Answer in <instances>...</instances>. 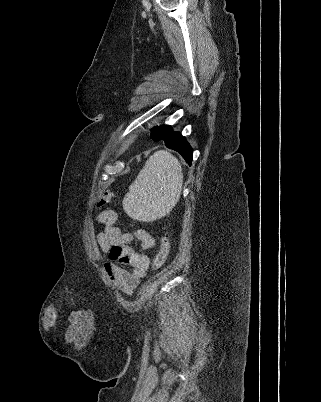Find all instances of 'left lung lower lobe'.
<instances>
[{"label": "left lung lower lobe", "instance_id": "left-lung-lower-lobe-1", "mask_svg": "<svg viewBox=\"0 0 321 402\" xmlns=\"http://www.w3.org/2000/svg\"><path fill=\"white\" fill-rule=\"evenodd\" d=\"M157 134L155 141L162 140L165 146L177 151L191 165L193 157V149L179 132H173L171 126H157Z\"/></svg>", "mask_w": 321, "mask_h": 402}]
</instances>
